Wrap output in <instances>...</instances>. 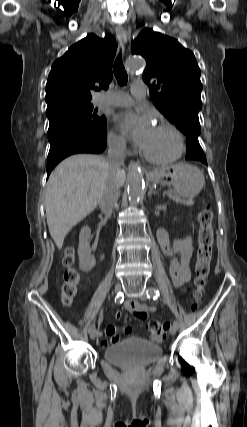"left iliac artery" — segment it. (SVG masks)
Returning <instances> with one entry per match:
<instances>
[{"instance_id":"44dca946","label":"left iliac artery","mask_w":247,"mask_h":427,"mask_svg":"<svg viewBox=\"0 0 247 427\" xmlns=\"http://www.w3.org/2000/svg\"><path fill=\"white\" fill-rule=\"evenodd\" d=\"M159 295H160V294H159V291H158V289H156V288H152V289H149V290L147 291V297H148V298L157 299V297H158ZM173 324H174V325H176L177 327H179V322H178L177 320H174Z\"/></svg>"}]
</instances>
